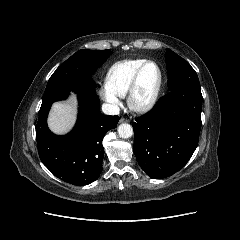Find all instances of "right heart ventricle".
<instances>
[{
  "label": "right heart ventricle",
  "mask_w": 240,
  "mask_h": 240,
  "mask_svg": "<svg viewBox=\"0 0 240 240\" xmlns=\"http://www.w3.org/2000/svg\"><path fill=\"white\" fill-rule=\"evenodd\" d=\"M145 61L129 59L113 64L106 75V87L117 96H125L136 70Z\"/></svg>",
  "instance_id": "obj_1"
}]
</instances>
